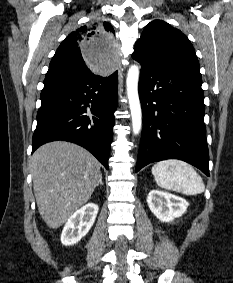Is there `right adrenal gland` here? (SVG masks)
I'll return each mask as SVG.
<instances>
[{"instance_id":"obj_1","label":"right adrenal gland","mask_w":233,"mask_h":283,"mask_svg":"<svg viewBox=\"0 0 233 283\" xmlns=\"http://www.w3.org/2000/svg\"><path fill=\"white\" fill-rule=\"evenodd\" d=\"M99 184L103 186L102 175L100 176Z\"/></svg>"}]
</instances>
